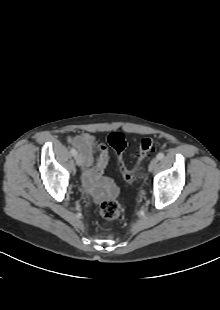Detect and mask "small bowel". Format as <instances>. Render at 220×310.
Here are the masks:
<instances>
[{
    "instance_id": "c3829d8e",
    "label": "small bowel",
    "mask_w": 220,
    "mask_h": 310,
    "mask_svg": "<svg viewBox=\"0 0 220 310\" xmlns=\"http://www.w3.org/2000/svg\"><path fill=\"white\" fill-rule=\"evenodd\" d=\"M68 143L75 146L83 158L82 181L86 193L95 200L113 193L116 190L113 181L103 176L109 159L106 146L98 143L95 136L89 133L69 136Z\"/></svg>"
}]
</instances>
